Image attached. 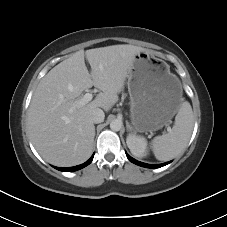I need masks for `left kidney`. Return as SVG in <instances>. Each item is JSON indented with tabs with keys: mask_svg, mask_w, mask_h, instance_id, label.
<instances>
[{
	"mask_svg": "<svg viewBox=\"0 0 227 227\" xmlns=\"http://www.w3.org/2000/svg\"><path fill=\"white\" fill-rule=\"evenodd\" d=\"M126 143L134 156L141 158L147 155V142L143 137L129 134Z\"/></svg>",
	"mask_w": 227,
	"mask_h": 227,
	"instance_id": "obj_1",
	"label": "left kidney"
}]
</instances>
